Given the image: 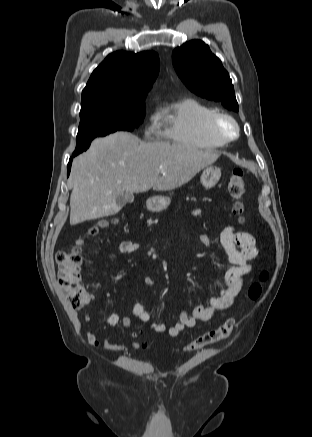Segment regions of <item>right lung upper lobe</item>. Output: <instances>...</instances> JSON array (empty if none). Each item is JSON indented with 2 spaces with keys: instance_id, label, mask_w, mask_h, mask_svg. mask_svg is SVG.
I'll use <instances>...</instances> for the list:
<instances>
[{
  "instance_id": "1",
  "label": "right lung upper lobe",
  "mask_w": 312,
  "mask_h": 437,
  "mask_svg": "<svg viewBox=\"0 0 312 437\" xmlns=\"http://www.w3.org/2000/svg\"><path fill=\"white\" fill-rule=\"evenodd\" d=\"M158 71L159 58L154 51L114 52L93 71L82 91L81 109L144 106Z\"/></svg>"
}]
</instances>
